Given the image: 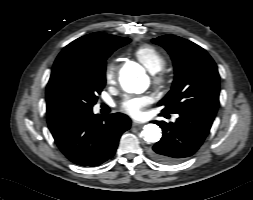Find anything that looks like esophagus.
Wrapping results in <instances>:
<instances>
[{"mask_svg":"<svg viewBox=\"0 0 253 200\" xmlns=\"http://www.w3.org/2000/svg\"><path fill=\"white\" fill-rule=\"evenodd\" d=\"M141 125H142V123L136 122V121H134V122L132 123V126H133V127H138V126H141Z\"/></svg>","mask_w":253,"mask_h":200,"instance_id":"obj_1","label":"esophagus"}]
</instances>
